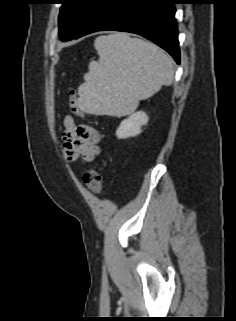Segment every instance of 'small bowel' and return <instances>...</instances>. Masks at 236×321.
Returning <instances> with one entry per match:
<instances>
[{"mask_svg": "<svg viewBox=\"0 0 236 321\" xmlns=\"http://www.w3.org/2000/svg\"><path fill=\"white\" fill-rule=\"evenodd\" d=\"M62 134L66 158L74 161L81 157L84 161H92L100 154L101 136L89 124L77 123L73 116L63 118Z\"/></svg>", "mask_w": 236, "mask_h": 321, "instance_id": "obj_1", "label": "small bowel"}]
</instances>
